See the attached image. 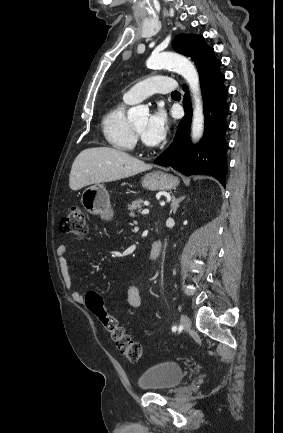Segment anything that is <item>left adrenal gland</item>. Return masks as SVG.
<instances>
[{
    "label": "left adrenal gland",
    "instance_id": "obj_1",
    "mask_svg": "<svg viewBox=\"0 0 283 433\" xmlns=\"http://www.w3.org/2000/svg\"><path fill=\"white\" fill-rule=\"evenodd\" d=\"M183 198H185V196H180V198H176V196H172V200H171V210H173V212H176L178 206H179V202H181V200H183Z\"/></svg>",
    "mask_w": 283,
    "mask_h": 433
}]
</instances>
